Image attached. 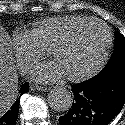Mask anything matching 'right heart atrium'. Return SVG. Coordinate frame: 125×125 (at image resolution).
<instances>
[{"label": "right heart atrium", "mask_w": 125, "mask_h": 125, "mask_svg": "<svg viewBox=\"0 0 125 125\" xmlns=\"http://www.w3.org/2000/svg\"><path fill=\"white\" fill-rule=\"evenodd\" d=\"M11 49L23 72L31 70L47 54V50L38 43L32 31L26 29H17L13 33Z\"/></svg>", "instance_id": "right-heart-atrium-1"}]
</instances>
